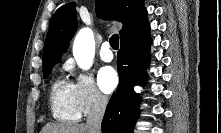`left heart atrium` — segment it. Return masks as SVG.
I'll list each match as a JSON object with an SVG mask.
<instances>
[{
  "instance_id": "39dd6f15",
  "label": "left heart atrium",
  "mask_w": 221,
  "mask_h": 133,
  "mask_svg": "<svg viewBox=\"0 0 221 133\" xmlns=\"http://www.w3.org/2000/svg\"><path fill=\"white\" fill-rule=\"evenodd\" d=\"M118 84V76L111 66L103 67L98 73V86L104 94H110Z\"/></svg>"
}]
</instances>
